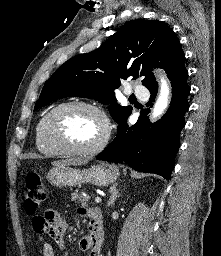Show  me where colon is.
I'll return each mask as SVG.
<instances>
[{
    "label": "colon",
    "instance_id": "5ec220e1",
    "mask_svg": "<svg viewBox=\"0 0 221 256\" xmlns=\"http://www.w3.org/2000/svg\"><path fill=\"white\" fill-rule=\"evenodd\" d=\"M26 196L24 207L29 215H33L46 198V189L41 177L36 172H29L25 178Z\"/></svg>",
    "mask_w": 221,
    "mask_h": 256
}]
</instances>
